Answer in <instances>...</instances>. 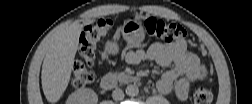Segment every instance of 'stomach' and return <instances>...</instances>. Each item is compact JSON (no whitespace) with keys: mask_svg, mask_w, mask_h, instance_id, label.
<instances>
[{"mask_svg":"<svg viewBox=\"0 0 252 104\" xmlns=\"http://www.w3.org/2000/svg\"><path fill=\"white\" fill-rule=\"evenodd\" d=\"M121 33L128 44L132 46H139L144 38L145 31L142 23L137 19H128L120 27ZM117 44H109V52L115 54L117 52Z\"/></svg>","mask_w":252,"mask_h":104,"instance_id":"stomach-1","label":"stomach"}]
</instances>
